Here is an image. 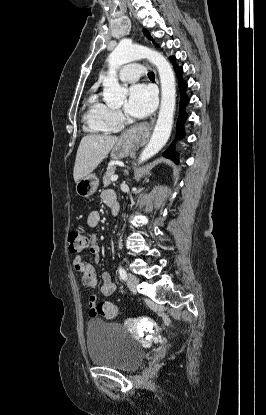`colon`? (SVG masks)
<instances>
[{
    "label": "colon",
    "mask_w": 266,
    "mask_h": 415,
    "mask_svg": "<svg viewBox=\"0 0 266 415\" xmlns=\"http://www.w3.org/2000/svg\"><path fill=\"white\" fill-rule=\"evenodd\" d=\"M69 251L79 253L87 247L88 238L81 230L71 231L68 235ZM93 312L105 318H115L119 315V308L110 302H100L95 305Z\"/></svg>",
    "instance_id": "obj_1"
}]
</instances>
